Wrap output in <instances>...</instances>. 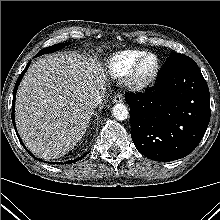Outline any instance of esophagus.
<instances>
[{
  "instance_id": "1",
  "label": "esophagus",
  "mask_w": 220,
  "mask_h": 220,
  "mask_svg": "<svg viewBox=\"0 0 220 220\" xmlns=\"http://www.w3.org/2000/svg\"><path fill=\"white\" fill-rule=\"evenodd\" d=\"M113 103H120L123 101V96L121 94H117L113 97Z\"/></svg>"
}]
</instances>
